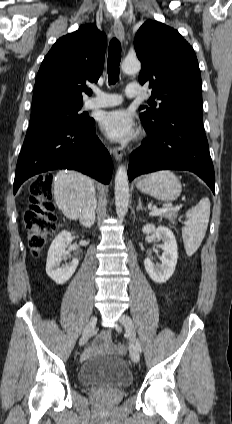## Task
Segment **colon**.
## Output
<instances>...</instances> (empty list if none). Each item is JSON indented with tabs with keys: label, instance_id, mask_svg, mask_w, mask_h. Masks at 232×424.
<instances>
[{
	"label": "colon",
	"instance_id": "obj_1",
	"mask_svg": "<svg viewBox=\"0 0 232 424\" xmlns=\"http://www.w3.org/2000/svg\"><path fill=\"white\" fill-rule=\"evenodd\" d=\"M29 191L30 206L24 214V222L31 254L37 257L55 230L54 205L50 190L43 180H34ZM117 348L118 352H127L123 339L117 340Z\"/></svg>",
	"mask_w": 232,
	"mask_h": 424
}]
</instances>
